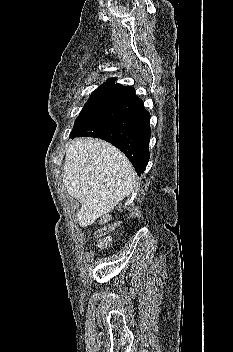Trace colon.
I'll return each instance as SVG.
<instances>
[{
  "mask_svg": "<svg viewBox=\"0 0 233 352\" xmlns=\"http://www.w3.org/2000/svg\"><path fill=\"white\" fill-rule=\"evenodd\" d=\"M110 244V240L108 238H101L97 241L96 246L98 249H104L108 247Z\"/></svg>",
  "mask_w": 233,
  "mask_h": 352,
  "instance_id": "1",
  "label": "colon"
}]
</instances>
